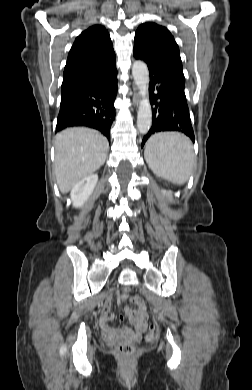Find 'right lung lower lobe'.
Wrapping results in <instances>:
<instances>
[{
  "mask_svg": "<svg viewBox=\"0 0 252 390\" xmlns=\"http://www.w3.org/2000/svg\"><path fill=\"white\" fill-rule=\"evenodd\" d=\"M116 76L115 66L107 75L62 94L56 132L66 127L87 126L110 139V128L115 120Z\"/></svg>",
  "mask_w": 252,
  "mask_h": 390,
  "instance_id": "right-lung-lower-lobe-1",
  "label": "right lung lower lobe"
}]
</instances>
